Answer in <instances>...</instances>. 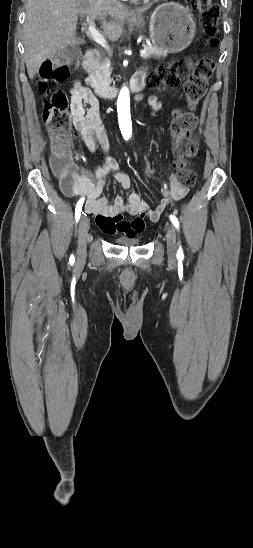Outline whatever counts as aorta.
<instances>
[{
    "mask_svg": "<svg viewBox=\"0 0 253 548\" xmlns=\"http://www.w3.org/2000/svg\"><path fill=\"white\" fill-rule=\"evenodd\" d=\"M117 109L119 114L120 129L125 138L131 136V118H130V94L127 87L120 90Z\"/></svg>",
    "mask_w": 253,
    "mask_h": 548,
    "instance_id": "1",
    "label": "aorta"
}]
</instances>
